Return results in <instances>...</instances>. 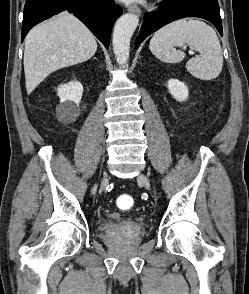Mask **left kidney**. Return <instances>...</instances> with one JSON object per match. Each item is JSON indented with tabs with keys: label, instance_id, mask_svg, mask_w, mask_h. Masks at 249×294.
<instances>
[{
	"label": "left kidney",
	"instance_id": "left-kidney-1",
	"mask_svg": "<svg viewBox=\"0 0 249 294\" xmlns=\"http://www.w3.org/2000/svg\"><path fill=\"white\" fill-rule=\"evenodd\" d=\"M168 90L173 98L180 102L185 101L189 95L187 86L177 79H170L168 81Z\"/></svg>",
	"mask_w": 249,
	"mask_h": 294
}]
</instances>
